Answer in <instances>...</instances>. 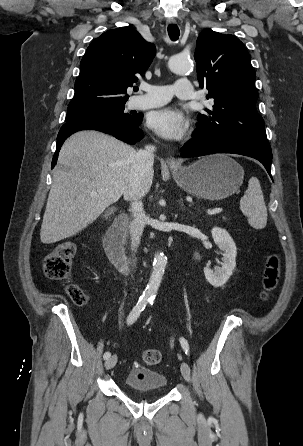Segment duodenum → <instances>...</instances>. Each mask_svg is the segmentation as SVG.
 Instances as JSON below:
<instances>
[{
	"label": "duodenum",
	"instance_id": "obj_1",
	"mask_svg": "<svg viewBox=\"0 0 303 446\" xmlns=\"http://www.w3.org/2000/svg\"><path fill=\"white\" fill-rule=\"evenodd\" d=\"M128 222L127 214H120L116 217L104 238V248L108 257L121 269H127L128 267L124 251V238Z\"/></svg>",
	"mask_w": 303,
	"mask_h": 446
}]
</instances>
